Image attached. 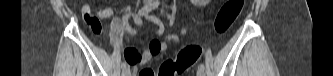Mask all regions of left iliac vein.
I'll return each instance as SVG.
<instances>
[{
  "mask_svg": "<svg viewBox=\"0 0 333 76\" xmlns=\"http://www.w3.org/2000/svg\"><path fill=\"white\" fill-rule=\"evenodd\" d=\"M205 75V72L203 69H198L197 71V76H204Z\"/></svg>",
  "mask_w": 333,
  "mask_h": 76,
  "instance_id": "obj_1",
  "label": "left iliac vein"
}]
</instances>
